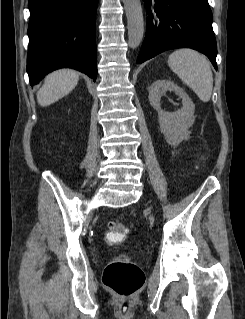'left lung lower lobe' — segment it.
Segmentation results:
<instances>
[{
	"mask_svg": "<svg viewBox=\"0 0 245 319\" xmlns=\"http://www.w3.org/2000/svg\"><path fill=\"white\" fill-rule=\"evenodd\" d=\"M146 35L137 63L174 48L187 47L205 54L217 70L213 16L207 0H144Z\"/></svg>",
	"mask_w": 245,
	"mask_h": 319,
	"instance_id": "left-lung-lower-lobe-1",
	"label": "left lung lower lobe"
}]
</instances>
